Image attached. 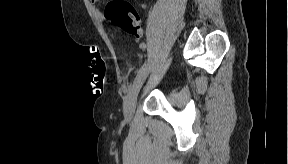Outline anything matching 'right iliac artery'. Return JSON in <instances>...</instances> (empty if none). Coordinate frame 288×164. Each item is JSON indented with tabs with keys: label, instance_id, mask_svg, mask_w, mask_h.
<instances>
[{
	"label": "right iliac artery",
	"instance_id": "1",
	"mask_svg": "<svg viewBox=\"0 0 288 164\" xmlns=\"http://www.w3.org/2000/svg\"><path fill=\"white\" fill-rule=\"evenodd\" d=\"M139 47H140L141 49H145V48H146V44H145V43H141V44L139 45Z\"/></svg>",
	"mask_w": 288,
	"mask_h": 164
}]
</instances>
